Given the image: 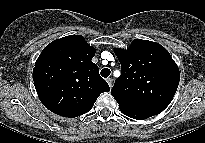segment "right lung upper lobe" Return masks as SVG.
Masks as SVG:
<instances>
[{
	"mask_svg": "<svg viewBox=\"0 0 205 143\" xmlns=\"http://www.w3.org/2000/svg\"><path fill=\"white\" fill-rule=\"evenodd\" d=\"M95 52L80 35L57 39L42 50L33 81L47 109L74 118L90 111L99 95L110 90L92 62Z\"/></svg>",
	"mask_w": 205,
	"mask_h": 143,
	"instance_id": "obj_1",
	"label": "right lung upper lobe"
}]
</instances>
